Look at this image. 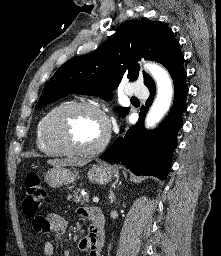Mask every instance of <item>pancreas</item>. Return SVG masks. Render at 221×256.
<instances>
[{
    "label": "pancreas",
    "instance_id": "cf45deb5",
    "mask_svg": "<svg viewBox=\"0 0 221 256\" xmlns=\"http://www.w3.org/2000/svg\"><path fill=\"white\" fill-rule=\"evenodd\" d=\"M68 200L74 201L76 204H81V205H87L89 202V196L88 195H82L80 193V190L77 189L73 192L72 195L68 196Z\"/></svg>",
    "mask_w": 221,
    "mask_h": 256
}]
</instances>
